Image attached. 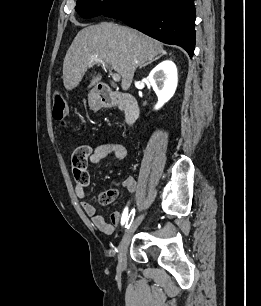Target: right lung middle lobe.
I'll list each match as a JSON object with an SVG mask.
<instances>
[{"label": "right lung middle lobe", "mask_w": 261, "mask_h": 306, "mask_svg": "<svg viewBox=\"0 0 261 306\" xmlns=\"http://www.w3.org/2000/svg\"><path fill=\"white\" fill-rule=\"evenodd\" d=\"M126 0H77L75 10L83 18H92L119 6Z\"/></svg>", "instance_id": "dd1d6c3e"}]
</instances>
